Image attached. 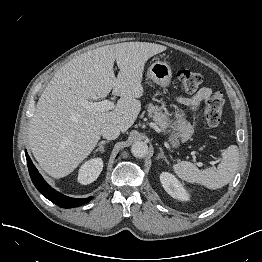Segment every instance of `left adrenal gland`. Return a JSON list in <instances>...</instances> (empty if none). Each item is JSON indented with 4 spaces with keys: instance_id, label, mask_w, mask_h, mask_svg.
<instances>
[{
    "instance_id": "obj_1",
    "label": "left adrenal gland",
    "mask_w": 262,
    "mask_h": 262,
    "mask_svg": "<svg viewBox=\"0 0 262 262\" xmlns=\"http://www.w3.org/2000/svg\"><path fill=\"white\" fill-rule=\"evenodd\" d=\"M159 149H160V153L157 156V159L163 158L165 160V162L168 163V160H167L166 156L164 155L163 149L162 148H159Z\"/></svg>"
}]
</instances>
